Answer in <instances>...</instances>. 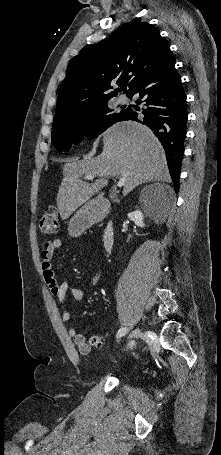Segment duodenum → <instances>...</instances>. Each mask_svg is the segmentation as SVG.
<instances>
[{
  "label": "duodenum",
  "mask_w": 221,
  "mask_h": 455,
  "mask_svg": "<svg viewBox=\"0 0 221 455\" xmlns=\"http://www.w3.org/2000/svg\"><path fill=\"white\" fill-rule=\"evenodd\" d=\"M110 203L108 201H100L97 210L95 213V217L97 220L103 219L107 217L110 213ZM103 246L106 252L110 253L113 250L114 243H115V230L114 224L112 221H109L106 225L104 232H103Z\"/></svg>",
  "instance_id": "410a0bca"
}]
</instances>
